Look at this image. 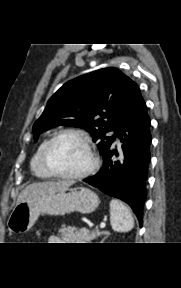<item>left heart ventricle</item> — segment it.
<instances>
[{
    "mask_svg": "<svg viewBox=\"0 0 181 288\" xmlns=\"http://www.w3.org/2000/svg\"><path fill=\"white\" fill-rule=\"evenodd\" d=\"M50 162L59 172L74 174L89 164V154L82 140L74 135L59 138L51 148Z\"/></svg>",
    "mask_w": 181,
    "mask_h": 288,
    "instance_id": "obj_1",
    "label": "left heart ventricle"
}]
</instances>
